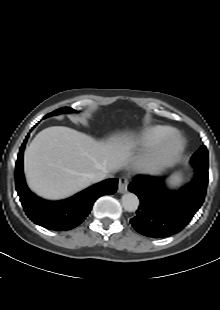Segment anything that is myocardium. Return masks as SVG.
I'll return each instance as SVG.
<instances>
[{"label":"myocardium","mask_w":220,"mask_h":310,"mask_svg":"<svg viewBox=\"0 0 220 310\" xmlns=\"http://www.w3.org/2000/svg\"><path fill=\"white\" fill-rule=\"evenodd\" d=\"M185 148L184 137L173 131L142 157V168L146 173H160L180 159Z\"/></svg>","instance_id":"obj_1"}]
</instances>
